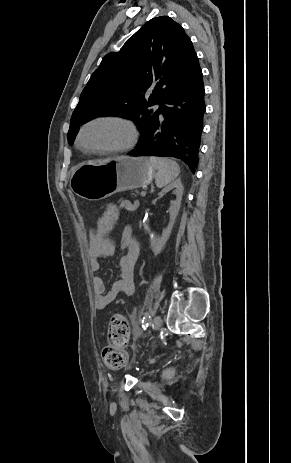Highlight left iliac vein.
<instances>
[{
    "label": "left iliac vein",
    "instance_id": "left-iliac-vein-1",
    "mask_svg": "<svg viewBox=\"0 0 291 463\" xmlns=\"http://www.w3.org/2000/svg\"><path fill=\"white\" fill-rule=\"evenodd\" d=\"M161 324H162L161 317L159 315H156L152 322V330L154 331L159 330L161 327Z\"/></svg>",
    "mask_w": 291,
    "mask_h": 463
}]
</instances>
